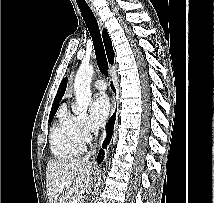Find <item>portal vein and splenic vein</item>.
<instances>
[{"label":"portal vein and splenic vein","mask_w":214,"mask_h":203,"mask_svg":"<svg viewBox=\"0 0 214 203\" xmlns=\"http://www.w3.org/2000/svg\"><path fill=\"white\" fill-rule=\"evenodd\" d=\"M72 184V181H66V182H63L59 187H58V189H57V191L58 192H62L63 191V189L65 188V187H67V186H70ZM71 203H81L80 202V200L79 199H73L72 201H71Z\"/></svg>","instance_id":"18ae733b"}]
</instances>
